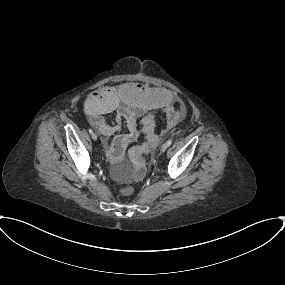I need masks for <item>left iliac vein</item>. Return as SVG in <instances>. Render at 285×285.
<instances>
[{"instance_id": "4c4485c4", "label": "left iliac vein", "mask_w": 285, "mask_h": 285, "mask_svg": "<svg viewBox=\"0 0 285 285\" xmlns=\"http://www.w3.org/2000/svg\"><path fill=\"white\" fill-rule=\"evenodd\" d=\"M167 148H168V144H167V142H166V143H164V144L161 146V152H162V153L165 152V151L167 150Z\"/></svg>"}]
</instances>
